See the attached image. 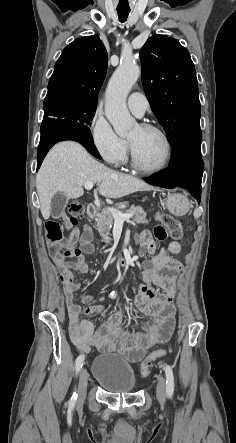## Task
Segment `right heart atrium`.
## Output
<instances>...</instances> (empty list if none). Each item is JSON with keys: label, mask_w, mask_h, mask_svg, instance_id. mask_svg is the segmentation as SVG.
Wrapping results in <instances>:
<instances>
[{"label": "right heart atrium", "mask_w": 236, "mask_h": 443, "mask_svg": "<svg viewBox=\"0 0 236 443\" xmlns=\"http://www.w3.org/2000/svg\"><path fill=\"white\" fill-rule=\"evenodd\" d=\"M89 135L92 145L106 163L118 167L126 162L127 141L115 133L108 120L100 112H96L90 121Z\"/></svg>", "instance_id": "obj_1"}]
</instances>
